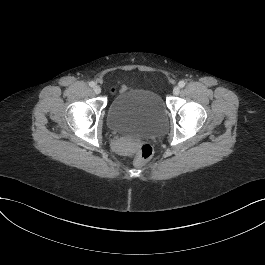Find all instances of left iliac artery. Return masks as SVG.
<instances>
[{
	"label": "left iliac artery",
	"mask_w": 265,
	"mask_h": 265,
	"mask_svg": "<svg viewBox=\"0 0 265 265\" xmlns=\"http://www.w3.org/2000/svg\"><path fill=\"white\" fill-rule=\"evenodd\" d=\"M178 85H179V87L183 88V87L185 86V82H184V81H180V82L178 83Z\"/></svg>",
	"instance_id": "44dca946"
}]
</instances>
